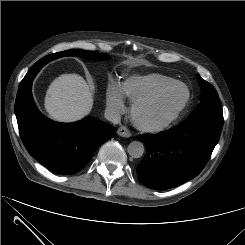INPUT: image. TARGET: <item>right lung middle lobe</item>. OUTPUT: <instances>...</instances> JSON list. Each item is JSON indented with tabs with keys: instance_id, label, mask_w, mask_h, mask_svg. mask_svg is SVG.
I'll return each mask as SVG.
<instances>
[{
	"instance_id": "1",
	"label": "right lung middle lobe",
	"mask_w": 245,
	"mask_h": 245,
	"mask_svg": "<svg viewBox=\"0 0 245 245\" xmlns=\"http://www.w3.org/2000/svg\"><path fill=\"white\" fill-rule=\"evenodd\" d=\"M78 55L82 56V57H85L87 59H93V60L103 59V58H107L108 57L106 54H101L100 55L98 52H94V51H85V50H80V49H73V50H66V51H62V52H58V53L47 55L46 62L48 63L49 61H52L54 59H57V58L63 57V56H78ZM46 62L41 63V59H40L35 64L43 66Z\"/></svg>"
}]
</instances>
